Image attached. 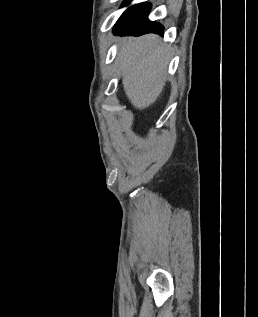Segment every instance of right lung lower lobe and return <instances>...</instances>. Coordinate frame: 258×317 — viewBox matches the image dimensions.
Listing matches in <instances>:
<instances>
[{"label": "right lung lower lobe", "instance_id": "1", "mask_svg": "<svg viewBox=\"0 0 258 317\" xmlns=\"http://www.w3.org/2000/svg\"><path fill=\"white\" fill-rule=\"evenodd\" d=\"M131 0H124L122 6H126ZM151 5L142 3L128 8L117 21L114 32L117 35L140 36L146 33L163 34V26L147 19Z\"/></svg>", "mask_w": 258, "mask_h": 317}]
</instances>
